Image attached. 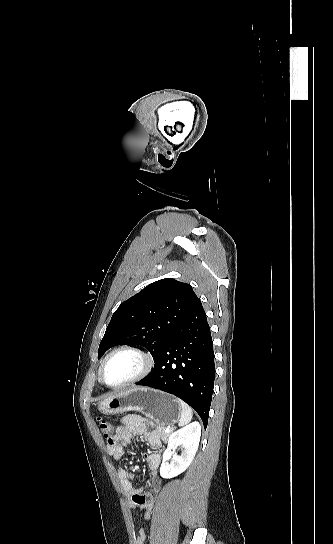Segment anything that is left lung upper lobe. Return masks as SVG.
Returning a JSON list of instances; mask_svg holds the SVG:
<instances>
[{
	"mask_svg": "<svg viewBox=\"0 0 333 544\" xmlns=\"http://www.w3.org/2000/svg\"><path fill=\"white\" fill-rule=\"evenodd\" d=\"M189 284L158 280L120 304L99 345L98 358L112 346L134 343L158 358L165 344L198 301Z\"/></svg>",
	"mask_w": 333,
	"mask_h": 544,
	"instance_id": "obj_1",
	"label": "left lung upper lobe"
}]
</instances>
